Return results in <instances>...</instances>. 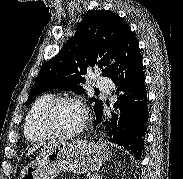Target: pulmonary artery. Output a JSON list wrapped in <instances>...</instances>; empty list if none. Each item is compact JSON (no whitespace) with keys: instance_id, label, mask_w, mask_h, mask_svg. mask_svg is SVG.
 Instances as JSON below:
<instances>
[{"instance_id":"e3ab8cb5","label":"pulmonary artery","mask_w":183,"mask_h":179,"mask_svg":"<svg viewBox=\"0 0 183 179\" xmlns=\"http://www.w3.org/2000/svg\"><path fill=\"white\" fill-rule=\"evenodd\" d=\"M110 84H111V81L106 77H99L97 79V86L103 90L109 91Z\"/></svg>"}]
</instances>
